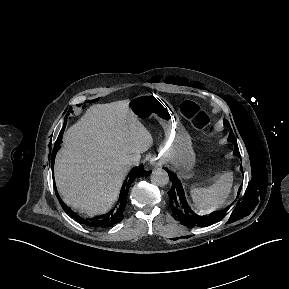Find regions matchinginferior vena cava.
Instances as JSON below:
<instances>
[{
	"label": "inferior vena cava",
	"mask_w": 289,
	"mask_h": 289,
	"mask_svg": "<svg viewBox=\"0 0 289 289\" xmlns=\"http://www.w3.org/2000/svg\"><path fill=\"white\" fill-rule=\"evenodd\" d=\"M137 163H138V160L135 159V158H133V159H131V160L128 162V165H129V166H134V165H136Z\"/></svg>",
	"instance_id": "1"
}]
</instances>
